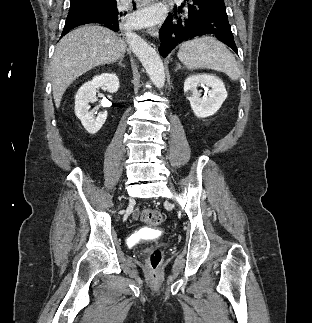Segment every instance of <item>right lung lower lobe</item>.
<instances>
[{"instance_id":"obj_1","label":"right lung lower lobe","mask_w":312,"mask_h":323,"mask_svg":"<svg viewBox=\"0 0 312 323\" xmlns=\"http://www.w3.org/2000/svg\"><path fill=\"white\" fill-rule=\"evenodd\" d=\"M133 7L136 8L135 3ZM128 18L126 11L117 8L116 0H96L90 4H81L69 9L61 37L72 28L88 23H99L114 32H119L126 28Z\"/></svg>"}]
</instances>
